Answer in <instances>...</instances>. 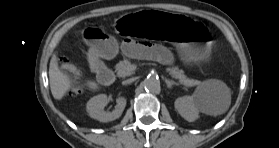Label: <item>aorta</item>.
I'll return each mask as SVG.
<instances>
[{"mask_svg": "<svg viewBox=\"0 0 279 148\" xmlns=\"http://www.w3.org/2000/svg\"><path fill=\"white\" fill-rule=\"evenodd\" d=\"M144 88L152 93H158L161 90L160 80L157 76H148L144 80Z\"/></svg>", "mask_w": 279, "mask_h": 148, "instance_id": "1", "label": "aorta"}]
</instances>
